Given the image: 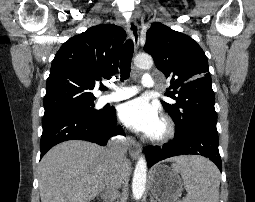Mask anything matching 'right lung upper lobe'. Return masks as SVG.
<instances>
[{
    "label": "right lung upper lobe",
    "instance_id": "cb5924a9",
    "mask_svg": "<svg viewBox=\"0 0 255 202\" xmlns=\"http://www.w3.org/2000/svg\"><path fill=\"white\" fill-rule=\"evenodd\" d=\"M125 31L101 24L71 37L56 53L46 84L45 114L93 103L90 90L118 69Z\"/></svg>",
    "mask_w": 255,
    "mask_h": 202
}]
</instances>
